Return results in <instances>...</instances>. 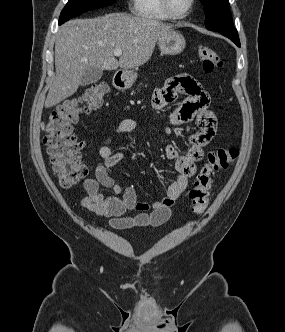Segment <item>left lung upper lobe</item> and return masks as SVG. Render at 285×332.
I'll return each mask as SVG.
<instances>
[{
  "instance_id": "5c2ea615",
  "label": "left lung upper lobe",
  "mask_w": 285,
  "mask_h": 332,
  "mask_svg": "<svg viewBox=\"0 0 285 332\" xmlns=\"http://www.w3.org/2000/svg\"><path fill=\"white\" fill-rule=\"evenodd\" d=\"M206 15L205 25L208 30L223 35L237 36L233 26L229 0H200Z\"/></svg>"
}]
</instances>
